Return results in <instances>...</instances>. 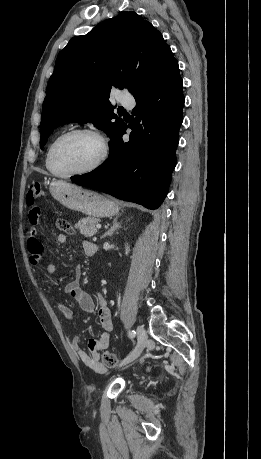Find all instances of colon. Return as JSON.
<instances>
[{
  "instance_id": "colon-1",
  "label": "colon",
  "mask_w": 261,
  "mask_h": 459,
  "mask_svg": "<svg viewBox=\"0 0 261 459\" xmlns=\"http://www.w3.org/2000/svg\"><path fill=\"white\" fill-rule=\"evenodd\" d=\"M43 191L41 184L39 182H33L28 190L26 202L27 205L31 208L30 210V219L28 220V232L29 234H39L41 230V224L39 223L40 217L43 215V212L40 207L36 205L38 199L43 197ZM56 227L63 232L71 233L73 231L71 224L63 219L56 221ZM102 362L105 367H114L118 364L117 357L110 351L106 350L102 354ZM152 366H149L148 369H151Z\"/></svg>"
}]
</instances>
